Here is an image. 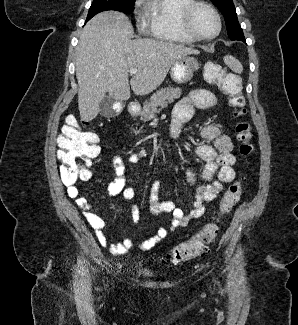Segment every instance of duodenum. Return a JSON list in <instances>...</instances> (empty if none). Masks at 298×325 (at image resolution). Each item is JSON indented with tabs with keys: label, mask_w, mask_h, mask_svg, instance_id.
Masks as SVG:
<instances>
[{
	"label": "duodenum",
	"mask_w": 298,
	"mask_h": 325,
	"mask_svg": "<svg viewBox=\"0 0 298 325\" xmlns=\"http://www.w3.org/2000/svg\"><path fill=\"white\" fill-rule=\"evenodd\" d=\"M128 111L131 116L137 115L139 111V105L135 102H131L128 106Z\"/></svg>",
	"instance_id": "obj_1"
}]
</instances>
